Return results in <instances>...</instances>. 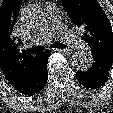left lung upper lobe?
<instances>
[{"instance_id": "obj_1", "label": "left lung upper lobe", "mask_w": 113, "mask_h": 113, "mask_svg": "<svg viewBox=\"0 0 113 113\" xmlns=\"http://www.w3.org/2000/svg\"><path fill=\"white\" fill-rule=\"evenodd\" d=\"M73 23L84 29L82 39L93 54L113 58L112 26L97 0H60Z\"/></svg>"}]
</instances>
